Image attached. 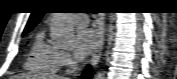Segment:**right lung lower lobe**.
<instances>
[{"mask_svg":"<svg viewBox=\"0 0 177 79\" xmlns=\"http://www.w3.org/2000/svg\"><path fill=\"white\" fill-rule=\"evenodd\" d=\"M92 71L91 68L88 66L83 74L84 79H89L91 77Z\"/></svg>","mask_w":177,"mask_h":79,"instance_id":"right-lung-lower-lobe-1","label":"right lung lower lobe"}]
</instances>
